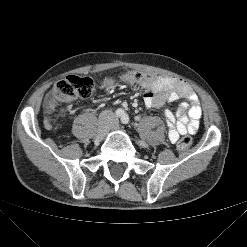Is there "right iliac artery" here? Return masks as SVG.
Returning a JSON list of instances; mask_svg holds the SVG:
<instances>
[{"instance_id":"82829eb1","label":"right iliac artery","mask_w":247,"mask_h":247,"mask_svg":"<svg viewBox=\"0 0 247 247\" xmlns=\"http://www.w3.org/2000/svg\"><path fill=\"white\" fill-rule=\"evenodd\" d=\"M123 114H124V112H123L122 109H117L116 115H117L118 117H121Z\"/></svg>"}]
</instances>
